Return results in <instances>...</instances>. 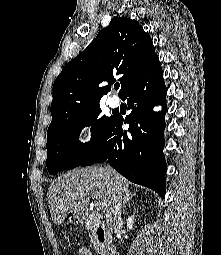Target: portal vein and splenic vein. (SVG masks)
Listing matches in <instances>:
<instances>
[{
	"label": "portal vein and splenic vein",
	"mask_w": 221,
	"mask_h": 255,
	"mask_svg": "<svg viewBox=\"0 0 221 255\" xmlns=\"http://www.w3.org/2000/svg\"><path fill=\"white\" fill-rule=\"evenodd\" d=\"M97 198V196H95ZM97 209H101L102 208V203L100 201L96 202L95 204Z\"/></svg>",
	"instance_id": "obj_1"
}]
</instances>
